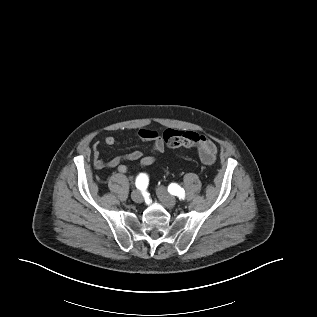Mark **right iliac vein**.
Instances as JSON below:
<instances>
[{"label":"right iliac vein","mask_w":317,"mask_h":317,"mask_svg":"<svg viewBox=\"0 0 317 317\" xmlns=\"http://www.w3.org/2000/svg\"><path fill=\"white\" fill-rule=\"evenodd\" d=\"M131 198L135 203H141L143 201V197L138 190L132 192Z\"/></svg>","instance_id":"1"}]
</instances>
